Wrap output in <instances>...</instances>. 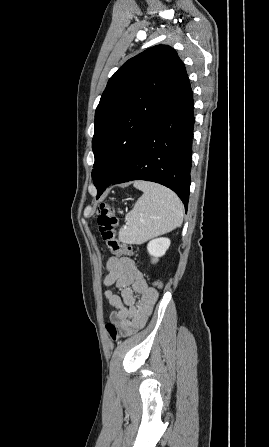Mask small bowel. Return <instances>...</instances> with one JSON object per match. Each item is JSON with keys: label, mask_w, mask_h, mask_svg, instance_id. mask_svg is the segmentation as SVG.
Returning <instances> with one entry per match:
<instances>
[{"label": "small bowel", "mask_w": 269, "mask_h": 447, "mask_svg": "<svg viewBox=\"0 0 269 447\" xmlns=\"http://www.w3.org/2000/svg\"><path fill=\"white\" fill-rule=\"evenodd\" d=\"M105 286L115 285L119 294L105 290L104 295L115 308L110 320L119 328L143 327L158 299V292L151 287L143 273L130 258H110L107 262Z\"/></svg>", "instance_id": "small-bowel-1"}]
</instances>
